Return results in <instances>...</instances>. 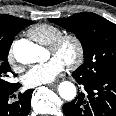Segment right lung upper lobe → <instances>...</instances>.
<instances>
[{"mask_svg":"<svg viewBox=\"0 0 116 116\" xmlns=\"http://www.w3.org/2000/svg\"><path fill=\"white\" fill-rule=\"evenodd\" d=\"M28 20L17 18L7 14H0V34L11 35L24 26Z\"/></svg>","mask_w":116,"mask_h":116,"instance_id":"obj_1","label":"right lung upper lobe"}]
</instances>
